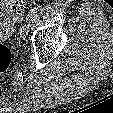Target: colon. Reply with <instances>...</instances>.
<instances>
[{
    "label": "colon",
    "instance_id": "colon-1",
    "mask_svg": "<svg viewBox=\"0 0 113 113\" xmlns=\"http://www.w3.org/2000/svg\"><path fill=\"white\" fill-rule=\"evenodd\" d=\"M24 11V5L20 0H1L0 14L7 15L15 21H19ZM12 61L11 46L0 42V74L6 71Z\"/></svg>",
    "mask_w": 113,
    "mask_h": 113
}]
</instances>
